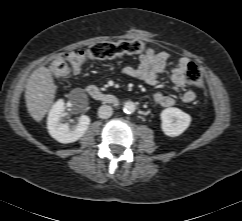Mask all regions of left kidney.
<instances>
[{"label": "left kidney", "instance_id": "obj_1", "mask_svg": "<svg viewBox=\"0 0 242 221\" xmlns=\"http://www.w3.org/2000/svg\"><path fill=\"white\" fill-rule=\"evenodd\" d=\"M161 128L165 135L176 137L181 135L190 125L191 117L178 108H166L161 114Z\"/></svg>", "mask_w": 242, "mask_h": 221}]
</instances>
